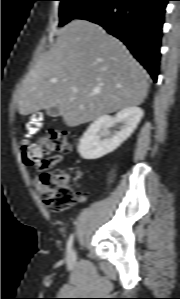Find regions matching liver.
Returning a JSON list of instances; mask_svg holds the SVG:
<instances>
[{
	"label": "liver",
	"mask_w": 180,
	"mask_h": 299,
	"mask_svg": "<svg viewBox=\"0 0 180 299\" xmlns=\"http://www.w3.org/2000/svg\"><path fill=\"white\" fill-rule=\"evenodd\" d=\"M147 91L146 71L122 42L99 25L74 20L25 77L18 109L25 116L58 106L65 124L75 127L136 107Z\"/></svg>",
	"instance_id": "liver-1"
}]
</instances>
